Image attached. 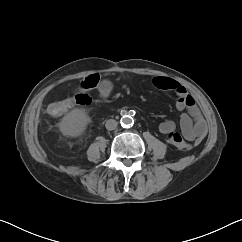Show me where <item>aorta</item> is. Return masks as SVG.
Masks as SVG:
<instances>
[{
	"instance_id": "obj_1",
	"label": "aorta",
	"mask_w": 242,
	"mask_h": 242,
	"mask_svg": "<svg viewBox=\"0 0 242 242\" xmlns=\"http://www.w3.org/2000/svg\"><path fill=\"white\" fill-rule=\"evenodd\" d=\"M133 123H134V120H133V118H132L131 116H129V115H124V116L121 118V125H122V127H126V128H128V127L132 126Z\"/></svg>"
}]
</instances>
